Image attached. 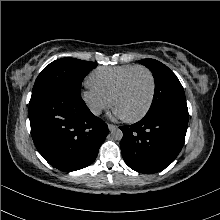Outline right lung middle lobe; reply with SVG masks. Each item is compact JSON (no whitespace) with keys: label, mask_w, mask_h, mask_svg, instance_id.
Segmentation results:
<instances>
[{"label":"right lung middle lobe","mask_w":220,"mask_h":220,"mask_svg":"<svg viewBox=\"0 0 220 220\" xmlns=\"http://www.w3.org/2000/svg\"><path fill=\"white\" fill-rule=\"evenodd\" d=\"M97 66L90 61L62 58L46 66L36 79L32 93L60 90L81 97L80 88L86 74Z\"/></svg>","instance_id":"1"}]
</instances>
